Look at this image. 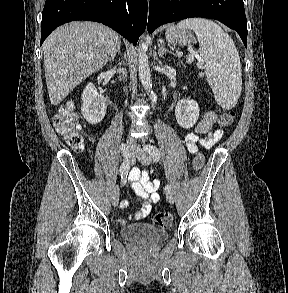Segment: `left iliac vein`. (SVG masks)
Segmentation results:
<instances>
[{
    "mask_svg": "<svg viewBox=\"0 0 288 293\" xmlns=\"http://www.w3.org/2000/svg\"><path fill=\"white\" fill-rule=\"evenodd\" d=\"M134 156L143 165H148L151 162L150 155L138 145L135 147ZM166 199L171 204H173L175 201L174 196L171 192H166Z\"/></svg>",
    "mask_w": 288,
    "mask_h": 293,
    "instance_id": "4c4485c4",
    "label": "left iliac vein"
}]
</instances>
